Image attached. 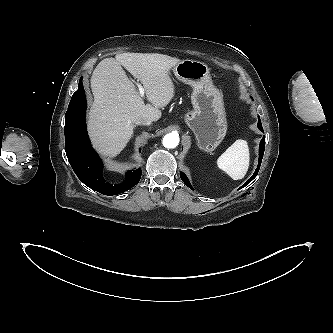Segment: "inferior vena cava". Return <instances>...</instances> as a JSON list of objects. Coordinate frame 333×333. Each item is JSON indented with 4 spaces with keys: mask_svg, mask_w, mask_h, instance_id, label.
<instances>
[{
    "mask_svg": "<svg viewBox=\"0 0 333 333\" xmlns=\"http://www.w3.org/2000/svg\"><path fill=\"white\" fill-rule=\"evenodd\" d=\"M152 121L145 117H139L135 120V124L137 125H150Z\"/></svg>",
    "mask_w": 333,
    "mask_h": 333,
    "instance_id": "obj_1",
    "label": "inferior vena cava"
}]
</instances>
